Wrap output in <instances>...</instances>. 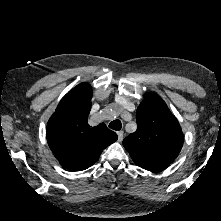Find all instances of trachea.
<instances>
[{"mask_svg": "<svg viewBox=\"0 0 221 221\" xmlns=\"http://www.w3.org/2000/svg\"><path fill=\"white\" fill-rule=\"evenodd\" d=\"M121 127H122V123L118 119L110 122V124H109V128L116 130V131H119L121 129Z\"/></svg>", "mask_w": 221, "mask_h": 221, "instance_id": "1", "label": "trachea"}]
</instances>
